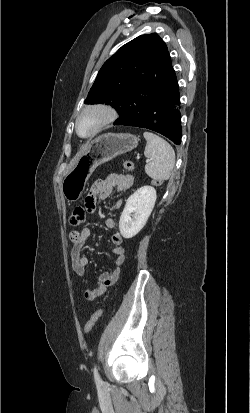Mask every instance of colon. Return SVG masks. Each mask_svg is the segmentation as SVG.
Wrapping results in <instances>:
<instances>
[{
  "label": "colon",
  "mask_w": 250,
  "mask_h": 413,
  "mask_svg": "<svg viewBox=\"0 0 250 413\" xmlns=\"http://www.w3.org/2000/svg\"><path fill=\"white\" fill-rule=\"evenodd\" d=\"M123 165L127 171H133L135 169V165L131 160H125ZM148 184L150 187H163L165 185V180L163 178H150ZM86 209L87 207L85 205L76 207L70 215V224L73 226L82 225L86 220ZM101 313V310H97L91 315L84 326L85 333H89L92 330L100 318Z\"/></svg>",
  "instance_id": "colon-1"
}]
</instances>
